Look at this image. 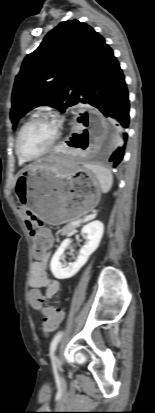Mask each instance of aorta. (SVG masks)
<instances>
[{
	"label": "aorta",
	"mask_w": 155,
	"mask_h": 413,
	"mask_svg": "<svg viewBox=\"0 0 155 413\" xmlns=\"http://www.w3.org/2000/svg\"><path fill=\"white\" fill-rule=\"evenodd\" d=\"M119 139H120V137H119L118 133L115 134L114 137H113V140H112L113 144L118 143Z\"/></svg>",
	"instance_id": "762f6f07"
}]
</instances>
